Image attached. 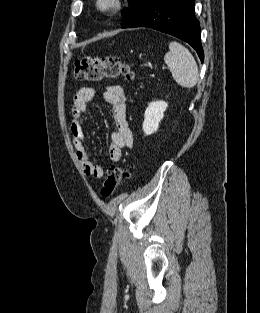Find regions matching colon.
I'll use <instances>...</instances> for the list:
<instances>
[{
    "mask_svg": "<svg viewBox=\"0 0 260 313\" xmlns=\"http://www.w3.org/2000/svg\"><path fill=\"white\" fill-rule=\"evenodd\" d=\"M134 72L130 65L119 57H84L75 62L73 77L77 81H101L126 78L134 79ZM129 170L124 166H114L105 179L101 195L109 198L126 179Z\"/></svg>",
    "mask_w": 260,
    "mask_h": 313,
    "instance_id": "colon-1",
    "label": "colon"
}]
</instances>
